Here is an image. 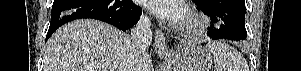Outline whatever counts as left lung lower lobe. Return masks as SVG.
<instances>
[{"instance_id":"1","label":"left lung lower lobe","mask_w":301,"mask_h":71,"mask_svg":"<svg viewBox=\"0 0 301 71\" xmlns=\"http://www.w3.org/2000/svg\"><path fill=\"white\" fill-rule=\"evenodd\" d=\"M196 4L213 21L207 31L212 40L246 39L244 0H208L206 4Z\"/></svg>"}]
</instances>
